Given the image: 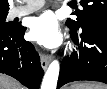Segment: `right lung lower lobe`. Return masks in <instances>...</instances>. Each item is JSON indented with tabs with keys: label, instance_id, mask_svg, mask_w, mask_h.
Returning a JSON list of instances; mask_svg holds the SVG:
<instances>
[{
	"label": "right lung lower lobe",
	"instance_id": "right-lung-lower-lobe-1",
	"mask_svg": "<svg viewBox=\"0 0 107 89\" xmlns=\"http://www.w3.org/2000/svg\"><path fill=\"white\" fill-rule=\"evenodd\" d=\"M26 28H0V73L10 75L30 89H38L44 75L39 56L24 40Z\"/></svg>",
	"mask_w": 107,
	"mask_h": 89
}]
</instances>
